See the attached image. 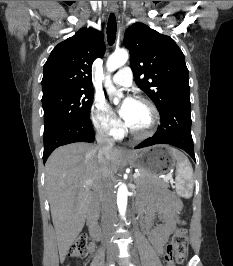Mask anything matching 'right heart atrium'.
<instances>
[{"instance_id": "right-heart-atrium-1", "label": "right heart atrium", "mask_w": 233, "mask_h": 266, "mask_svg": "<svg viewBox=\"0 0 233 266\" xmlns=\"http://www.w3.org/2000/svg\"><path fill=\"white\" fill-rule=\"evenodd\" d=\"M91 119L96 130L103 135L117 137L122 132L120 121L102 96L93 100Z\"/></svg>"}]
</instances>
